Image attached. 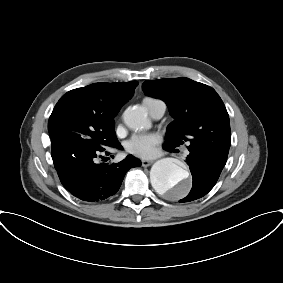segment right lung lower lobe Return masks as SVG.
<instances>
[{"label": "right lung lower lobe", "instance_id": "98d812e1", "mask_svg": "<svg viewBox=\"0 0 283 283\" xmlns=\"http://www.w3.org/2000/svg\"><path fill=\"white\" fill-rule=\"evenodd\" d=\"M112 148L121 145L117 142ZM104 151L84 147L73 154L52 157L61 183L73 196L87 202H101L119 190L129 169L141 165L132 155L116 164H98L96 158Z\"/></svg>", "mask_w": 283, "mask_h": 283}]
</instances>
